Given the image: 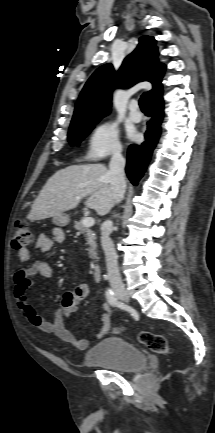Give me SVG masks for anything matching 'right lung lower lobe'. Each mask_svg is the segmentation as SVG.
<instances>
[{
	"mask_svg": "<svg viewBox=\"0 0 215 433\" xmlns=\"http://www.w3.org/2000/svg\"><path fill=\"white\" fill-rule=\"evenodd\" d=\"M152 119L148 122L145 132L146 141L141 145H130L127 154L126 173L133 185H137L145 172L153 149L155 148L161 134L160 125L163 119L162 93L150 100Z\"/></svg>",
	"mask_w": 215,
	"mask_h": 433,
	"instance_id": "obj_1",
	"label": "right lung lower lobe"
}]
</instances>
